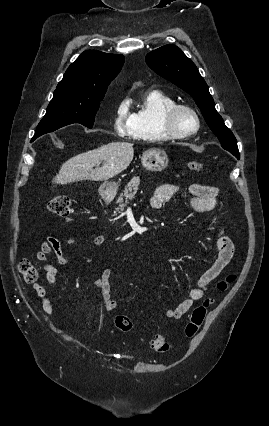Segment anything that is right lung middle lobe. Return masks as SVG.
<instances>
[{
    "label": "right lung middle lobe",
    "mask_w": 269,
    "mask_h": 426,
    "mask_svg": "<svg viewBox=\"0 0 269 426\" xmlns=\"http://www.w3.org/2000/svg\"><path fill=\"white\" fill-rule=\"evenodd\" d=\"M103 97L72 99L54 94L44 118L38 124L32 141L43 134L73 123H79L92 128L96 112Z\"/></svg>",
    "instance_id": "obj_1"
}]
</instances>
